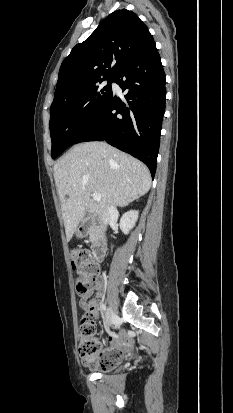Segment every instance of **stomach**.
Returning <instances> with one entry per match:
<instances>
[{
    "instance_id": "0dacf381",
    "label": "stomach",
    "mask_w": 233,
    "mask_h": 413,
    "mask_svg": "<svg viewBox=\"0 0 233 413\" xmlns=\"http://www.w3.org/2000/svg\"><path fill=\"white\" fill-rule=\"evenodd\" d=\"M78 235H79V236H83V234H81V233H79Z\"/></svg>"
}]
</instances>
